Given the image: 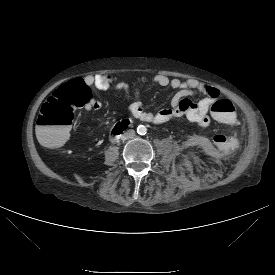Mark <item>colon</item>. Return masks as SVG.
I'll use <instances>...</instances> for the list:
<instances>
[{"label":"colon","mask_w":275,"mask_h":275,"mask_svg":"<svg viewBox=\"0 0 275 275\" xmlns=\"http://www.w3.org/2000/svg\"><path fill=\"white\" fill-rule=\"evenodd\" d=\"M89 101V88L80 79L58 87L42 105L36 121L40 143L46 147L62 144L70 133L75 111L88 105ZM211 111L217 119L226 122L236 117L233 103L223 97L212 101Z\"/></svg>","instance_id":"obj_1"}]
</instances>
